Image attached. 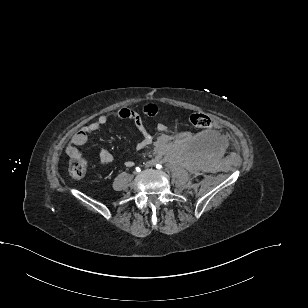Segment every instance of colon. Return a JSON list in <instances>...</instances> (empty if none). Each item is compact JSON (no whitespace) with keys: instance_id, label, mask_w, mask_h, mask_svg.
Listing matches in <instances>:
<instances>
[{"instance_id":"colon-1","label":"colon","mask_w":308,"mask_h":308,"mask_svg":"<svg viewBox=\"0 0 308 308\" xmlns=\"http://www.w3.org/2000/svg\"><path fill=\"white\" fill-rule=\"evenodd\" d=\"M189 121L197 129H207L212 126V119L205 113H193L189 116ZM69 172L73 177L81 178L86 172V160L83 157H72L69 162Z\"/></svg>"}]
</instances>
